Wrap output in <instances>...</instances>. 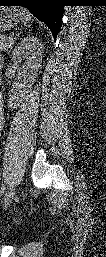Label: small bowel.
Instances as JSON below:
<instances>
[{"mask_svg":"<svg viewBox=\"0 0 106 257\" xmlns=\"http://www.w3.org/2000/svg\"><path fill=\"white\" fill-rule=\"evenodd\" d=\"M0 109H1L0 110L1 111V117H0V122H1L0 124H1V126L0 127L2 128V125H3L2 108H0Z\"/></svg>","mask_w":106,"mask_h":257,"instance_id":"1","label":"small bowel"}]
</instances>
